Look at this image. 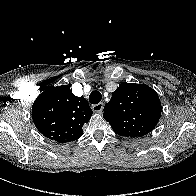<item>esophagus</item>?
Returning a JSON list of instances; mask_svg holds the SVG:
<instances>
[{"instance_id":"obj_1","label":"esophagus","mask_w":196,"mask_h":196,"mask_svg":"<svg viewBox=\"0 0 196 196\" xmlns=\"http://www.w3.org/2000/svg\"><path fill=\"white\" fill-rule=\"evenodd\" d=\"M104 104L102 102L92 105V110L96 113H101L103 111Z\"/></svg>"}]
</instances>
